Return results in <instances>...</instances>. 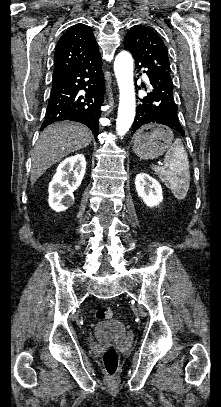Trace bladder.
Listing matches in <instances>:
<instances>
[{"instance_id":"1","label":"bladder","mask_w":221,"mask_h":407,"mask_svg":"<svg viewBox=\"0 0 221 407\" xmlns=\"http://www.w3.org/2000/svg\"><path fill=\"white\" fill-rule=\"evenodd\" d=\"M126 331L125 323L120 319H112L108 323L99 324L94 329L97 337L116 341L120 339Z\"/></svg>"}]
</instances>
